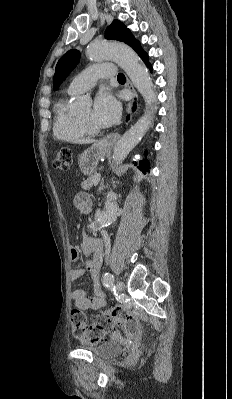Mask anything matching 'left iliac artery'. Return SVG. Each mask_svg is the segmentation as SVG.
Segmentation results:
<instances>
[{"instance_id": "1", "label": "left iliac artery", "mask_w": 232, "mask_h": 399, "mask_svg": "<svg viewBox=\"0 0 232 399\" xmlns=\"http://www.w3.org/2000/svg\"><path fill=\"white\" fill-rule=\"evenodd\" d=\"M114 282V276L113 274H111L110 272H105L104 274V285L106 287H108L116 300H120L121 299V293L116 289L115 285L113 284Z\"/></svg>"}]
</instances>
